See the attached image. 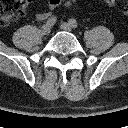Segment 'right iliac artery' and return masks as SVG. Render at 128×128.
<instances>
[{"instance_id":"1","label":"right iliac artery","mask_w":128,"mask_h":128,"mask_svg":"<svg viewBox=\"0 0 128 128\" xmlns=\"http://www.w3.org/2000/svg\"><path fill=\"white\" fill-rule=\"evenodd\" d=\"M56 20H57L56 17L55 16H52V17H50L47 20L46 25L52 27L56 23Z\"/></svg>"}]
</instances>
